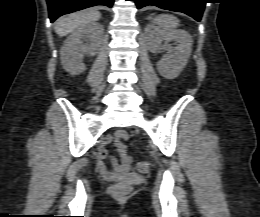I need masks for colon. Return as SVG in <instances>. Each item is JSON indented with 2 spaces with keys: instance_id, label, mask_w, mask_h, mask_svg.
I'll list each match as a JSON object with an SVG mask.
<instances>
[{
  "instance_id": "obj_1",
  "label": "colon",
  "mask_w": 260,
  "mask_h": 217,
  "mask_svg": "<svg viewBox=\"0 0 260 217\" xmlns=\"http://www.w3.org/2000/svg\"><path fill=\"white\" fill-rule=\"evenodd\" d=\"M136 171L138 172H144L147 170L148 165L146 162H138L136 164ZM111 193L116 194V195H124L127 192V185L123 184V183H119L116 185H113L110 188Z\"/></svg>"
}]
</instances>
